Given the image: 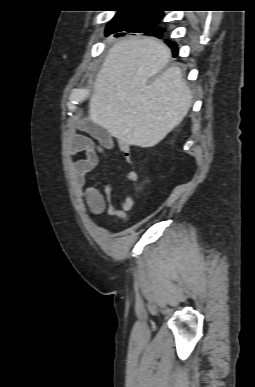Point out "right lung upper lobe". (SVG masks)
<instances>
[{
    "mask_svg": "<svg viewBox=\"0 0 255 387\" xmlns=\"http://www.w3.org/2000/svg\"><path fill=\"white\" fill-rule=\"evenodd\" d=\"M130 12H159V11H154V10H132V11H119L118 14H122V13H130Z\"/></svg>",
    "mask_w": 255,
    "mask_h": 387,
    "instance_id": "right-lung-upper-lobe-1",
    "label": "right lung upper lobe"
}]
</instances>
